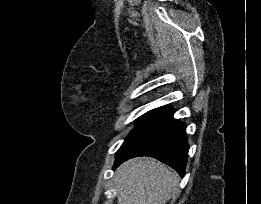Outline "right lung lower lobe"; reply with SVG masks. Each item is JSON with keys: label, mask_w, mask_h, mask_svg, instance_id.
<instances>
[{"label": "right lung lower lobe", "mask_w": 261, "mask_h": 204, "mask_svg": "<svg viewBox=\"0 0 261 204\" xmlns=\"http://www.w3.org/2000/svg\"><path fill=\"white\" fill-rule=\"evenodd\" d=\"M169 107L157 108L145 121L135 128L116 152L113 169L124 161L149 156L185 175L189 145L185 124L173 118Z\"/></svg>", "instance_id": "1"}]
</instances>
